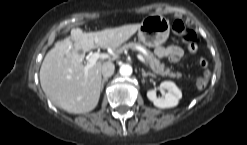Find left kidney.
<instances>
[{
  "label": "left kidney",
  "instance_id": "obj_1",
  "mask_svg": "<svg viewBox=\"0 0 247 145\" xmlns=\"http://www.w3.org/2000/svg\"><path fill=\"white\" fill-rule=\"evenodd\" d=\"M160 87L167 90L164 98H158L156 96V90L153 89L147 92L148 99L158 108H171L177 106L182 97V92L176 84L171 81H164L160 84Z\"/></svg>",
  "mask_w": 247,
  "mask_h": 145
}]
</instances>
